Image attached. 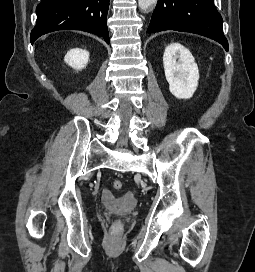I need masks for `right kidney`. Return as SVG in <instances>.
<instances>
[{"instance_id":"1","label":"right kidney","mask_w":255,"mask_h":272,"mask_svg":"<svg viewBox=\"0 0 255 272\" xmlns=\"http://www.w3.org/2000/svg\"><path fill=\"white\" fill-rule=\"evenodd\" d=\"M64 60L72 68L81 70L88 63L89 52L81 48H74L67 52Z\"/></svg>"}]
</instances>
